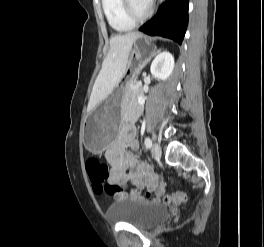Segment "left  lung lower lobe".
Masks as SVG:
<instances>
[{
  "mask_svg": "<svg viewBox=\"0 0 264 247\" xmlns=\"http://www.w3.org/2000/svg\"><path fill=\"white\" fill-rule=\"evenodd\" d=\"M188 0H166L157 13L139 30L181 44L188 25Z\"/></svg>",
  "mask_w": 264,
  "mask_h": 247,
  "instance_id": "0a47b994",
  "label": "left lung lower lobe"
}]
</instances>
